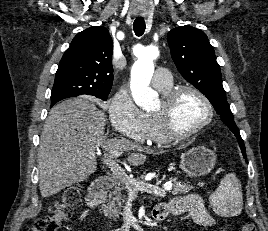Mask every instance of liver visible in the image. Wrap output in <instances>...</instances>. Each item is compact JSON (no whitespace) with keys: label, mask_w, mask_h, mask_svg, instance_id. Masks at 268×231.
<instances>
[{"label":"liver","mask_w":268,"mask_h":231,"mask_svg":"<svg viewBox=\"0 0 268 231\" xmlns=\"http://www.w3.org/2000/svg\"><path fill=\"white\" fill-rule=\"evenodd\" d=\"M106 115L85 97L65 100L51 108L38 148L39 187L42 197L86 180L96 171V148L111 155L132 151L127 161L145 162L146 149L128 139L105 136Z\"/></svg>","instance_id":"obj_1"}]
</instances>
